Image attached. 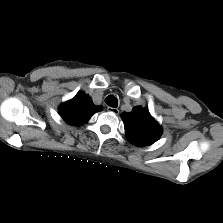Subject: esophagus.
<instances>
[{
    "label": "esophagus",
    "mask_w": 223,
    "mask_h": 223,
    "mask_svg": "<svg viewBox=\"0 0 223 223\" xmlns=\"http://www.w3.org/2000/svg\"><path fill=\"white\" fill-rule=\"evenodd\" d=\"M107 111H108L109 113L114 114V115H118V114H119V110H118L117 108L108 107V108H107Z\"/></svg>",
    "instance_id": "esophagus-1"
}]
</instances>
